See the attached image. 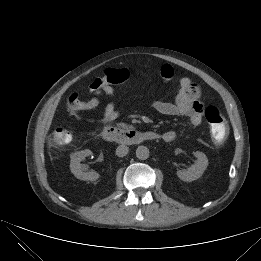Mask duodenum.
<instances>
[{
  "label": "duodenum",
  "instance_id": "obj_1",
  "mask_svg": "<svg viewBox=\"0 0 261 261\" xmlns=\"http://www.w3.org/2000/svg\"><path fill=\"white\" fill-rule=\"evenodd\" d=\"M103 139L126 145L139 144L146 140H153L158 134L153 131L140 132L134 129H121L115 126H107L102 131Z\"/></svg>",
  "mask_w": 261,
  "mask_h": 261
}]
</instances>
